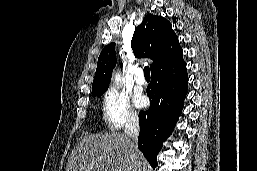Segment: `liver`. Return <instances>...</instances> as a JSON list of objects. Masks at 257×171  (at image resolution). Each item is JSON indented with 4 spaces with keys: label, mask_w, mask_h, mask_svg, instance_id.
<instances>
[{
    "label": "liver",
    "mask_w": 257,
    "mask_h": 171,
    "mask_svg": "<svg viewBox=\"0 0 257 171\" xmlns=\"http://www.w3.org/2000/svg\"><path fill=\"white\" fill-rule=\"evenodd\" d=\"M131 141L121 133L85 134L74 148L66 171H132ZM140 162V152L137 151Z\"/></svg>",
    "instance_id": "1"
}]
</instances>
